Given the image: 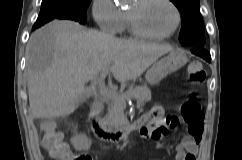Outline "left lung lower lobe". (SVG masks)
<instances>
[{"label":"left lung lower lobe","mask_w":242,"mask_h":160,"mask_svg":"<svg viewBox=\"0 0 242 160\" xmlns=\"http://www.w3.org/2000/svg\"><path fill=\"white\" fill-rule=\"evenodd\" d=\"M192 53L205 59L207 62L211 61V56L209 52L203 46L192 47Z\"/></svg>","instance_id":"left-lung-lower-lobe-1"}]
</instances>
